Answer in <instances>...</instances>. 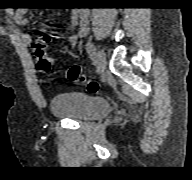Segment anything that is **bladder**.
Returning <instances> with one entry per match:
<instances>
[{"instance_id": "31cf9c89", "label": "bladder", "mask_w": 192, "mask_h": 180, "mask_svg": "<svg viewBox=\"0 0 192 180\" xmlns=\"http://www.w3.org/2000/svg\"><path fill=\"white\" fill-rule=\"evenodd\" d=\"M50 110L58 119L83 122L107 115L111 105L104 98L70 92L54 96L50 100Z\"/></svg>"}]
</instances>
